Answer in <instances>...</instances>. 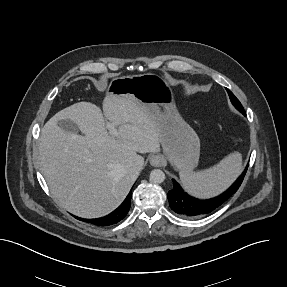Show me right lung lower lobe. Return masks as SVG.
Wrapping results in <instances>:
<instances>
[{
	"label": "right lung lower lobe",
	"mask_w": 287,
	"mask_h": 287,
	"mask_svg": "<svg viewBox=\"0 0 287 287\" xmlns=\"http://www.w3.org/2000/svg\"><path fill=\"white\" fill-rule=\"evenodd\" d=\"M132 198V193L130 192L126 199L123 201V203L112 213H110L107 216L96 218V219H83L78 218L81 221L88 222L97 226H109L118 223L121 221L125 216L127 215L129 209H130V202Z\"/></svg>",
	"instance_id": "1"
}]
</instances>
